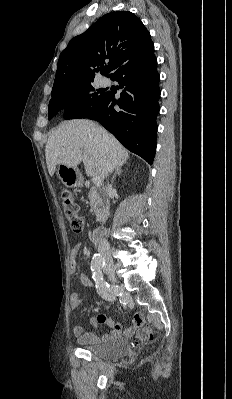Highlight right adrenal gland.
I'll list each match as a JSON object with an SVG mask.
<instances>
[{"mask_svg":"<svg viewBox=\"0 0 232 399\" xmlns=\"http://www.w3.org/2000/svg\"><path fill=\"white\" fill-rule=\"evenodd\" d=\"M121 174H122V166H119V168H116L115 174H114V176H113V178L111 180L112 186L114 184V180H115L116 176H121Z\"/></svg>","mask_w":232,"mask_h":399,"instance_id":"2a0ac1e0","label":"right adrenal gland"}]
</instances>
